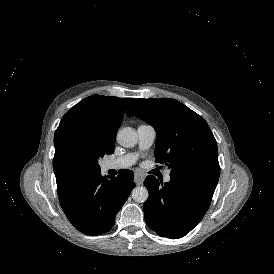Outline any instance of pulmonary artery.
<instances>
[{
  "mask_svg": "<svg viewBox=\"0 0 274 274\" xmlns=\"http://www.w3.org/2000/svg\"><path fill=\"white\" fill-rule=\"evenodd\" d=\"M155 130L152 126L142 124L137 128V142L138 151L125 154L121 157L109 160L105 162L106 170H121L127 169L134 165L139 158L141 152L149 149L155 139ZM171 180L170 173H166L164 176V182L168 183Z\"/></svg>",
  "mask_w": 274,
  "mask_h": 274,
  "instance_id": "obj_1",
  "label": "pulmonary artery"
}]
</instances>
